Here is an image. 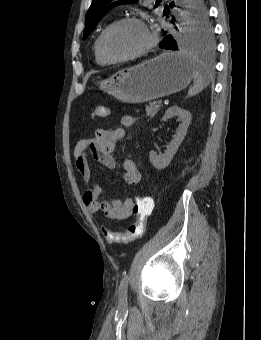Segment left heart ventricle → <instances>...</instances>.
Returning <instances> with one entry per match:
<instances>
[{"label": "left heart ventricle", "instance_id": "left-heart-ventricle-1", "mask_svg": "<svg viewBox=\"0 0 261 340\" xmlns=\"http://www.w3.org/2000/svg\"><path fill=\"white\" fill-rule=\"evenodd\" d=\"M149 36L139 24L126 23L113 29L105 39L106 51L115 57L133 54L147 45Z\"/></svg>", "mask_w": 261, "mask_h": 340}]
</instances>
